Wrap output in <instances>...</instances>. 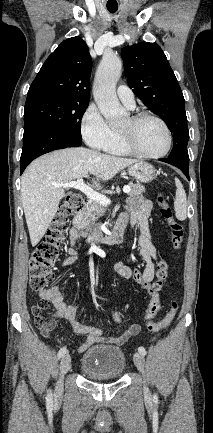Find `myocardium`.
Masks as SVG:
<instances>
[{
  "label": "myocardium",
  "instance_id": "myocardium-1",
  "mask_svg": "<svg viewBox=\"0 0 213 433\" xmlns=\"http://www.w3.org/2000/svg\"><path fill=\"white\" fill-rule=\"evenodd\" d=\"M151 119L158 122L164 129L167 136V145L164 151L158 154H149L141 151L134 143L131 135L127 132L119 131L120 139L126 150L133 155L147 159H159L165 157L171 150L173 145V136L168 124L159 116L149 112H139L130 117L132 123H139L143 120Z\"/></svg>",
  "mask_w": 213,
  "mask_h": 433
}]
</instances>
